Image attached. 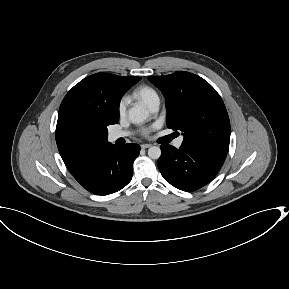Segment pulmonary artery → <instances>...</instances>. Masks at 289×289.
Wrapping results in <instances>:
<instances>
[{"label": "pulmonary artery", "instance_id": "1", "mask_svg": "<svg viewBox=\"0 0 289 289\" xmlns=\"http://www.w3.org/2000/svg\"><path fill=\"white\" fill-rule=\"evenodd\" d=\"M148 108L150 109L151 112L156 113L159 110V99L154 100L149 105ZM129 135H130V132H128V131H114V132H111L109 134L108 138L110 141H115L119 138H124V137H127ZM182 143H183V136H180L176 139L174 145L179 148V147H181Z\"/></svg>", "mask_w": 289, "mask_h": 289}]
</instances>
